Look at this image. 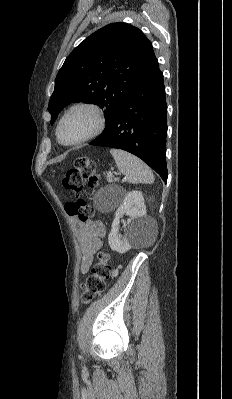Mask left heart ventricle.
Wrapping results in <instances>:
<instances>
[{
	"label": "left heart ventricle",
	"instance_id": "left-heart-ventricle-1",
	"mask_svg": "<svg viewBox=\"0 0 232 399\" xmlns=\"http://www.w3.org/2000/svg\"><path fill=\"white\" fill-rule=\"evenodd\" d=\"M95 126V116L86 108L73 110L61 125V135L67 142L77 141L88 135Z\"/></svg>",
	"mask_w": 232,
	"mask_h": 399
}]
</instances>
